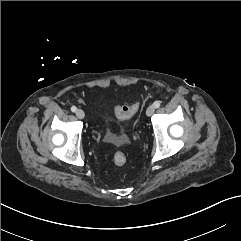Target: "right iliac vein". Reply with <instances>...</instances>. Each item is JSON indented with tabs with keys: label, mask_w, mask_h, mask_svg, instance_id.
Returning a JSON list of instances; mask_svg holds the SVG:
<instances>
[{
	"label": "right iliac vein",
	"mask_w": 241,
	"mask_h": 241,
	"mask_svg": "<svg viewBox=\"0 0 241 241\" xmlns=\"http://www.w3.org/2000/svg\"><path fill=\"white\" fill-rule=\"evenodd\" d=\"M76 116L79 118V119H83L85 114H84V111L82 109H77L76 110Z\"/></svg>",
	"instance_id": "obj_1"
}]
</instances>
